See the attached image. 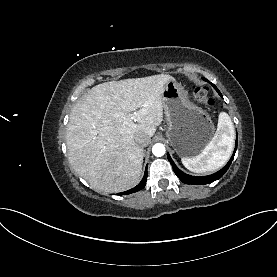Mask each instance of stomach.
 <instances>
[{"label":"stomach","instance_id":"1","mask_svg":"<svg viewBox=\"0 0 277 277\" xmlns=\"http://www.w3.org/2000/svg\"><path fill=\"white\" fill-rule=\"evenodd\" d=\"M167 138L180 157L192 158L212 140L215 127L208 113L190 101L183 86L168 81L162 93Z\"/></svg>","mask_w":277,"mask_h":277}]
</instances>
